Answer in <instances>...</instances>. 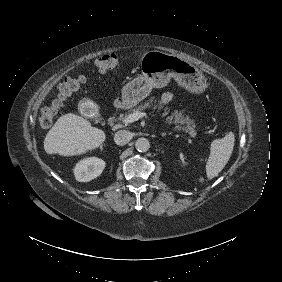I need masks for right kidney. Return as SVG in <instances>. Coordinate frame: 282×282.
I'll list each match as a JSON object with an SVG mask.
<instances>
[{"label": "right kidney", "mask_w": 282, "mask_h": 282, "mask_svg": "<svg viewBox=\"0 0 282 282\" xmlns=\"http://www.w3.org/2000/svg\"><path fill=\"white\" fill-rule=\"evenodd\" d=\"M105 165V161L97 157L84 158L73 169L75 179L79 182L91 181L103 172Z\"/></svg>", "instance_id": "right-kidney-1"}]
</instances>
